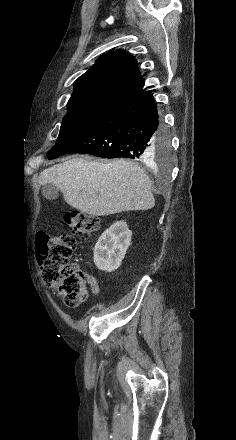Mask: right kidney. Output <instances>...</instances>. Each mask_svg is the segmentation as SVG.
<instances>
[{
	"label": "right kidney",
	"mask_w": 236,
	"mask_h": 440,
	"mask_svg": "<svg viewBox=\"0 0 236 440\" xmlns=\"http://www.w3.org/2000/svg\"><path fill=\"white\" fill-rule=\"evenodd\" d=\"M131 237L132 232L125 221H118L104 231L94 247L97 268L106 272L118 269L131 244Z\"/></svg>",
	"instance_id": "1"
}]
</instances>
